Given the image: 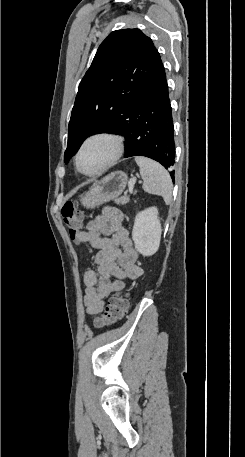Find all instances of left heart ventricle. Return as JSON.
<instances>
[{
	"label": "left heart ventricle",
	"instance_id": "left-heart-ventricle-1",
	"mask_svg": "<svg viewBox=\"0 0 245 457\" xmlns=\"http://www.w3.org/2000/svg\"><path fill=\"white\" fill-rule=\"evenodd\" d=\"M109 142L95 140L89 144L81 157V166L85 171L94 172L101 168L109 159Z\"/></svg>",
	"mask_w": 245,
	"mask_h": 457
}]
</instances>
